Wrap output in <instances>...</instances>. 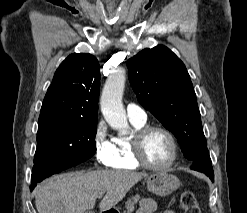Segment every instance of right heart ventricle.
Listing matches in <instances>:
<instances>
[{"label": "right heart ventricle", "instance_id": "right-heart-ventricle-1", "mask_svg": "<svg viewBox=\"0 0 247 213\" xmlns=\"http://www.w3.org/2000/svg\"><path fill=\"white\" fill-rule=\"evenodd\" d=\"M134 131L142 128L145 122L131 121ZM131 137H115L114 138V149L115 157L112 163V167L115 169L122 170H136L139 165L134 161L131 152Z\"/></svg>", "mask_w": 247, "mask_h": 213}]
</instances>
